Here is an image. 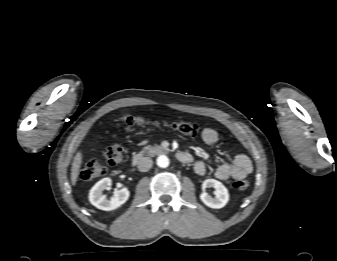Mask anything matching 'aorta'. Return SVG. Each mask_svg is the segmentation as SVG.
<instances>
[{
    "label": "aorta",
    "mask_w": 337,
    "mask_h": 261,
    "mask_svg": "<svg viewBox=\"0 0 337 261\" xmlns=\"http://www.w3.org/2000/svg\"><path fill=\"white\" fill-rule=\"evenodd\" d=\"M156 161L157 165L161 168H166L169 166V158L165 155H160Z\"/></svg>",
    "instance_id": "obj_1"
}]
</instances>
